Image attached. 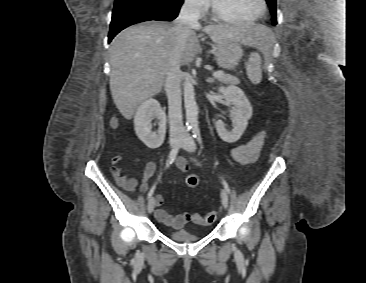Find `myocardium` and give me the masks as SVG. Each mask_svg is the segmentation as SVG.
Instances as JSON below:
<instances>
[{
  "label": "myocardium",
  "mask_w": 366,
  "mask_h": 283,
  "mask_svg": "<svg viewBox=\"0 0 366 283\" xmlns=\"http://www.w3.org/2000/svg\"><path fill=\"white\" fill-rule=\"evenodd\" d=\"M259 3H260V11L255 17H252L250 19H237V18H233V17H230V16L222 13L215 5L214 0H212V3H211L212 14H213L214 18H216L217 20L222 21V22L231 23V24H239V25L251 24V23H254V22L260 20L266 13V10H267L266 1L259 0Z\"/></svg>",
  "instance_id": "obj_1"
}]
</instances>
